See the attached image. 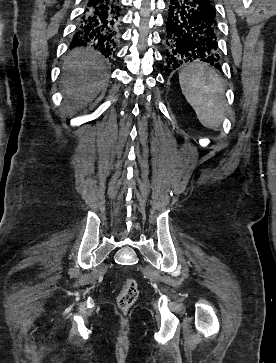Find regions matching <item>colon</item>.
<instances>
[{"label": "colon", "mask_w": 276, "mask_h": 363, "mask_svg": "<svg viewBox=\"0 0 276 363\" xmlns=\"http://www.w3.org/2000/svg\"><path fill=\"white\" fill-rule=\"evenodd\" d=\"M139 295L138 283L133 278H126L118 296L117 304L121 311L127 312Z\"/></svg>", "instance_id": "1"}]
</instances>
